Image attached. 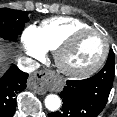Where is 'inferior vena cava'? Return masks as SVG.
Instances as JSON below:
<instances>
[{
	"instance_id": "obj_1",
	"label": "inferior vena cava",
	"mask_w": 117,
	"mask_h": 117,
	"mask_svg": "<svg viewBox=\"0 0 117 117\" xmlns=\"http://www.w3.org/2000/svg\"><path fill=\"white\" fill-rule=\"evenodd\" d=\"M17 66L26 73H32L40 67V64L29 57H21L17 61Z\"/></svg>"
}]
</instances>
